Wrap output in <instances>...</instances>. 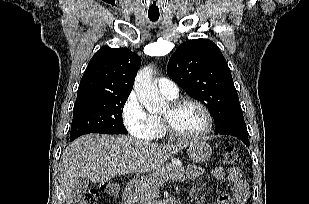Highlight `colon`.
<instances>
[{
	"instance_id": "5ec220e1",
	"label": "colon",
	"mask_w": 309,
	"mask_h": 204,
	"mask_svg": "<svg viewBox=\"0 0 309 204\" xmlns=\"http://www.w3.org/2000/svg\"><path fill=\"white\" fill-rule=\"evenodd\" d=\"M223 162L226 165L233 166L240 163V156L235 147L228 146L223 153ZM100 192L107 197L117 198L120 194V186L111 181L103 182L100 186ZM98 197L97 190H90L81 195L75 204H95Z\"/></svg>"
}]
</instances>
